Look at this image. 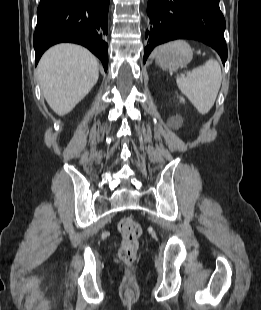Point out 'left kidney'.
<instances>
[{"label": "left kidney", "instance_id": "left-kidney-1", "mask_svg": "<svg viewBox=\"0 0 261 310\" xmlns=\"http://www.w3.org/2000/svg\"><path fill=\"white\" fill-rule=\"evenodd\" d=\"M180 101L183 102V103L185 102L183 97H180ZM171 121L174 124H180V118H178V117L171 118Z\"/></svg>", "mask_w": 261, "mask_h": 310}]
</instances>
